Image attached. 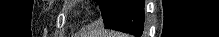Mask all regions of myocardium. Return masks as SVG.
<instances>
[{"instance_id":"f54148a6","label":"myocardium","mask_w":219,"mask_h":37,"mask_svg":"<svg viewBox=\"0 0 219 37\" xmlns=\"http://www.w3.org/2000/svg\"><path fill=\"white\" fill-rule=\"evenodd\" d=\"M73 13L75 16H79L81 11L79 9H75Z\"/></svg>"}]
</instances>
